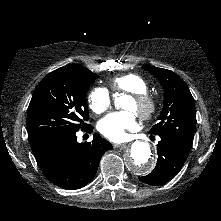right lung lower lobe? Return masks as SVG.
<instances>
[{
	"mask_svg": "<svg viewBox=\"0 0 221 221\" xmlns=\"http://www.w3.org/2000/svg\"><path fill=\"white\" fill-rule=\"evenodd\" d=\"M86 132L93 127L86 125ZM77 131L54 134L31 145L35 159L45 176L64 189H78L95 176L102 155L112 144L95 134L92 142H77Z\"/></svg>",
	"mask_w": 221,
	"mask_h": 221,
	"instance_id": "right-lung-lower-lobe-1",
	"label": "right lung lower lobe"
}]
</instances>
